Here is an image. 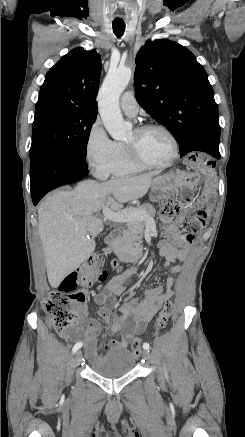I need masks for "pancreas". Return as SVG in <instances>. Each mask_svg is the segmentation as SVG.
Wrapping results in <instances>:
<instances>
[{
    "mask_svg": "<svg viewBox=\"0 0 245 437\" xmlns=\"http://www.w3.org/2000/svg\"><path fill=\"white\" fill-rule=\"evenodd\" d=\"M128 210H134V217L121 225L118 237L112 242V247L120 251L139 247L142 243L144 226L148 218L155 216V209L150 204L137 206Z\"/></svg>",
    "mask_w": 245,
    "mask_h": 437,
    "instance_id": "cf45deb5",
    "label": "pancreas"
}]
</instances>
